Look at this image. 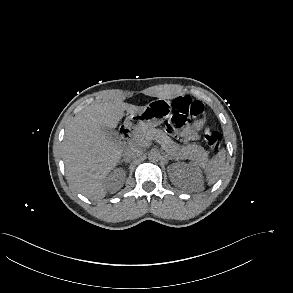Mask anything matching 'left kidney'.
<instances>
[{
	"label": "left kidney",
	"instance_id": "left-kidney-1",
	"mask_svg": "<svg viewBox=\"0 0 293 293\" xmlns=\"http://www.w3.org/2000/svg\"><path fill=\"white\" fill-rule=\"evenodd\" d=\"M174 172L171 175L172 182L177 187H189L193 190L202 191L204 181L199 168L184 162L171 165Z\"/></svg>",
	"mask_w": 293,
	"mask_h": 293
}]
</instances>
